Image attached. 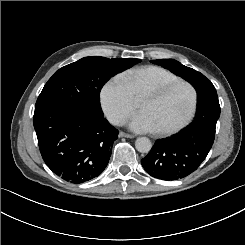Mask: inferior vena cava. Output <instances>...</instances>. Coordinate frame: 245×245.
<instances>
[{
	"label": "inferior vena cava",
	"instance_id": "602c4592",
	"mask_svg": "<svg viewBox=\"0 0 245 245\" xmlns=\"http://www.w3.org/2000/svg\"><path fill=\"white\" fill-rule=\"evenodd\" d=\"M126 120V116L122 114H117L112 119H110V122L115 126H121L126 123Z\"/></svg>",
	"mask_w": 245,
	"mask_h": 245
}]
</instances>
